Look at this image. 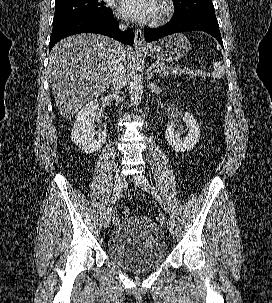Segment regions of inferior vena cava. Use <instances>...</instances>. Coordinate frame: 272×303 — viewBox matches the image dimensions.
Returning <instances> with one entry per match:
<instances>
[{
	"label": "inferior vena cava",
	"mask_w": 272,
	"mask_h": 303,
	"mask_svg": "<svg viewBox=\"0 0 272 303\" xmlns=\"http://www.w3.org/2000/svg\"><path fill=\"white\" fill-rule=\"evenodd\" d=\"M119 28L121 30H126L127 26L124 24H121L119 26ZM117 44L119 45V49H122V46L120 43L117 42ZM125 62V57L122 55V53L120 52L118 55V58L116 60V65L114 68V72H113V95L116 99H118V92L121 88V86L124 83V78H125V68L123 63Z\"/></svg>",
	"instance_id": "obj_1"
}]
</instances>
